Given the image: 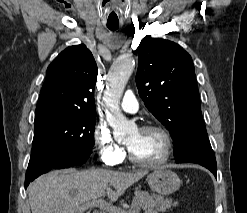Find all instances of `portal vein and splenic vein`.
<instances>
[{"instance_id":"1","label":"portal vein and splenic vein","mask_w":247,"mask_h":213,"mask_svg":"<svg viewBox=\"0 0 247 213\" xmlns=\"http://www.w3.org/2000/svg\"><path fill=\"white\" fill-rule=\"evenodd\" d=\"M83 207H96L105 210L108 213H126L125 210L117 208L116 206H113L112 204L104 201L103 199H97L90 202H86ZM136 212L138 213V210Z\"/></svg>"}]
</instances>
